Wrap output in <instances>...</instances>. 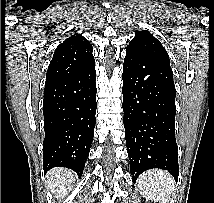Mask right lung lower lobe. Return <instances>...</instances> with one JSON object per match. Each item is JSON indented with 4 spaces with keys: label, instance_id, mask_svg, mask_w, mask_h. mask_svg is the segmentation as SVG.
I'll use <instances>...</instances> for the list:
<instances>
[{
    "label": "right lung lower lobe",
    "instance_id": "right-lung-lower-lobe-1",
    "mask_svg": "<svg viewBox=\"0 0 214 203\" xmlns=\"http://www.w3.org/2000/svg\"><path fill=\"white\" fill-rule=\"evenodd\" d=\"M95 63L87 69L45 85L43 100V169L66 167L82 175L94 136Z\"/></svg>",
    "mask_w": 214,
    "mask_h": 203
}]
</instances>
